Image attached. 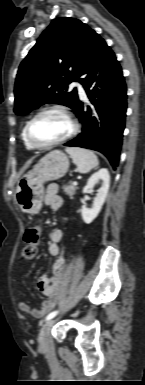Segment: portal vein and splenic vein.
Masks as SVG:
<instances>
[{
	"label": "portal vein and splenic vein",
	"mask_w": 145,
	"mask_h": 385,
	"mask_svg": "<svg viewBox=\"0 0 145 385\" xmlns=\"http://www.w3.org/2000/svg\"><path fill=\"white\" fill-rule=\"evenodd\" d=\"M73 185H75V186H76V185H78V183H77L76 181H74V182H73Z\"/></svg>",
	"instance_id": "1"
}]
</instances>
